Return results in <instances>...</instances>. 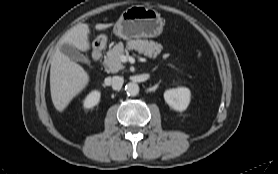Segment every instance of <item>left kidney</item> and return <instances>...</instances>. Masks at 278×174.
Instances as JSON below:
<instances>
[{
  "mask_svg": "<svg viewBox=\"0 0 278 174\" xmlns=\"http://www.w3.org/2000/svg\"><path fill=\"white\" fill-rule=\"evenodd\" d=\"M190 90L185 87L169 89L164 92L165 102L177 111H184L190 103Z\"/></svg>",
  "mask_w": 278,
  "mask_h": 174,
  "instance_id": "1",
  "label": "left kidney"
}]
</instances>
